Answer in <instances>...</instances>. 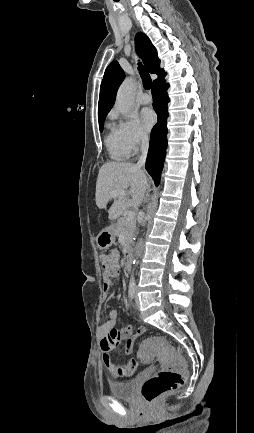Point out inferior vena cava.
Wrapping results in <instances>:
<instances>
[{"mask_svg": "<svg viewBox=\"0 0 254 433\" xmlns=\"http://www.w3.org/2000/svg\"><path fill=\"white\" fill-rule=\"evenodd\" d=\"M148 148H149V138L146 134H142L141 135V156L136 164L137 168H144L145 166V161H146V157H147V153H148ZM148 188V186H147Z\"/></svg>", "mask_w": 254, "mask_h": 433, "instance_id": "inferior-vena-cava-1", "label": "inferior vena cava"}]
</instances>
